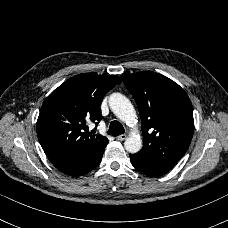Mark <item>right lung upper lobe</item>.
<instances>
[{"label": "right lung upper lobe", "instance_id": "obj_1", "mask_svg": "<svg viewBox=\"0 0 228 228\" xmlns=\"http://www.w3.org/2000/svg\"><path fill=\"white\" fill-rule=\"evenodd\" d=\"M120 83L117 75L83 73L65 81L45 99L36 129L54 165L78 161L108 141L105 136L91 135L86 123L101 120L104 95Z\"/></svg>", "mask_w": 228, "mask_h": 228}]
</instances>
